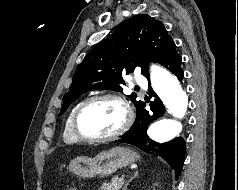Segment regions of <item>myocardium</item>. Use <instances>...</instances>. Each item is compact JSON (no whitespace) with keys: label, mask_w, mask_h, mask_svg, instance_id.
<instances>
[{"label":"myocardium","mask_w":238,"mask_h":190,"mask_svg":"<svg viewBox=\"0 0 238 190\" xmlns=\"http://www.w3.org/2000/svg\"><path fill=\"white\" fill-rule=\"evenodd\" d=\"M101 100H113V101L117 102L123 109L124 121H123L122 125L115 132H113L109 135H105V136L86 135L81 131L80 126H79L80 116H81L82 112L90 104L97 102V101H101ZM132 122H133V110H132L130 104L128 103V101L125 99V97H123L120 94H116V93H104V94L92 96V97L84 100L83 102H81V104L77 107V109L74 113L72 125H73L74 133L80 140L85 141V142L95 143V142L111 141V140H114V139L120 137L130 128Z\"/></svg>","instance_id":"myocardium-1"}]
</instances>
